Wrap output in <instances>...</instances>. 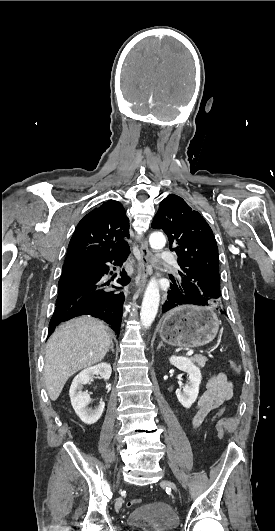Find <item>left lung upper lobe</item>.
Segmentation results:
<instances>
[{"mask_svg":"<svg viewBox=\"0 0 275 531\" xmlns=\"http://www.w3.org/2000/svg\"><path fill=\"white\" fill-rule=\"evenodd\" d=\"M152 227L168 236L170 249L178 256L181 268L169 292L183 302L218 306L220 297L219 257L213 232L200 215L179 196L170 194L162 200Z\"/></svg>","mask_w":275,"mask_h":531,"instance_id":"5c2ea615","label":"left lung upper lobe"}]
</instances>
